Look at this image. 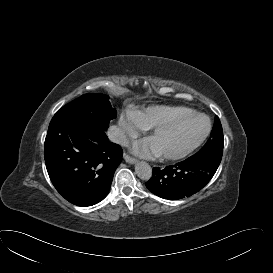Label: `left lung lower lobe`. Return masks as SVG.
Segmentation results:
<instances>
[{"instance_id": "1", "label": "left lung lower lobe", "mask_w": 273, "mask_h": 273, "mask_svg": "<svg viewBox=\"0 0 273 273\" xmlns=\"http://www.w3.org/2000/svg\"><path fill=\"white\" fill-rule=\"evenodd\" d=\"M217 168L208 162L188 158L164 169L155 167L146 186L152 193L164 199L189 197L211 180Z\"/></svg>"}]
</instances>
